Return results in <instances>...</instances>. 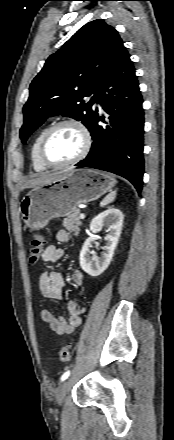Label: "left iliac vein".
I'll list each match as a JSON object with an SVG mask.
<instances>
[{"label": "left iliac vein", "instance_id": "4c4485c4", "mask_svg": "<svg viewBox=\"0 0 174 440\" xmlns=\"http://www.w3.org/2000/svg\"><path fill=\"white\" fill-rule=\"evenodd\" d=\"M70 388V380H65L58 388L56 393V401L58 405H62L67 391Z\"/></svg>", "mask_w": 174, "mask_h": 440}]
</instances>
